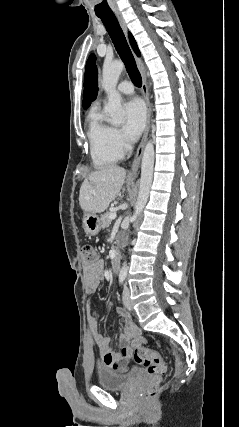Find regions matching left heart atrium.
I'll use <instances>...</instances> for the list:
<instances>
[{
	"instance_id": "39dd6f15",
	"label": "left heart atrium",
	"mask_w": 239,
	"mask_h": 427,
	"mask_svg": "<svg viewBox=\"0 0 239 427\" xmlns=\"http://www.w3.org/2000/svg\"><path fill=\"white\" fill-rule=\"evenodd\" d=\"M125 125L124 132L126 136L135 140L144 129L146 122V112L144 105L138 99H132L124 106Z\"/></svg>"
}]
</instances>
